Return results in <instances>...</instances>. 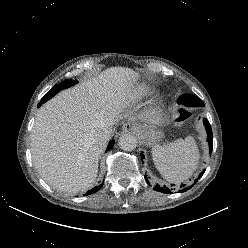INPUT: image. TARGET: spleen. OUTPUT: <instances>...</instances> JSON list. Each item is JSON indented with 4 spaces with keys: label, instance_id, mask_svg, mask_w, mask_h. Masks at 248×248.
<instances>
[{
    "label": "spleen",
    "instance_id": "obj_1",
    "mask_svg": "<svg viewBox=\"0 0 248 248\" xmlns=\"http://www.w3.org/2000/svg\"><path fill=\"white\" fill-rule=\"evenodd\" d=\"M153 162L163 178L180 183L189 178L199 162V151L192 136L152 148Z\"/></svg>",
    "mask_w": 248,
    "mask_h": 248
}]
</instances>
